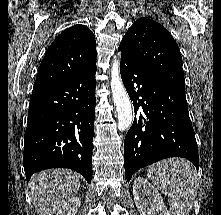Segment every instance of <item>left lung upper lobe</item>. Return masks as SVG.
<instances>
[{
	"label": "left lung upper lobe",
	"instance_id": "left-lung-upper-lobe-1",
	"mask_svg": "<svg viewBox=\"0 0 221 215\" xmlns=\"http://www.w3.org/2000/svg\"><path fill=\"white\" fill-rule=\"evenodd\" d=\"M118 50L143 71L185 90L181 53L172 35L158 22L146 17L135 21Z\"/></svg>",
	"mask_w": 221,
	"mask_h": 215
}]
</instances>
